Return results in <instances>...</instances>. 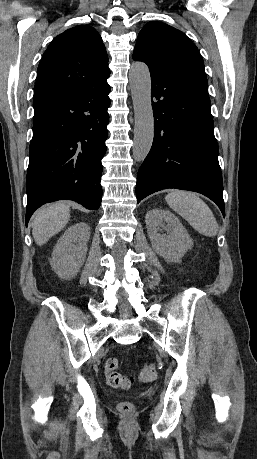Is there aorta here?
I'll use <instances>...</instances> for the list:
<instances>
[{"instance_id": "762f6f07", "label": "aorta", "mask_w": 257, "mask_h": 459, "mask_svg": "<svg viewBox=\"0 0 257 459\" xmlns=\"http://www.w3.org/2000/svg\"><path fill=\"white\" fill-rule=\"evenodd\" d=\"M129 84L135 118L133 158L137 162H142L151 149L154 137L151 77L145 63L135 62L131 65Z\"/></svg>"}]
</instances>
